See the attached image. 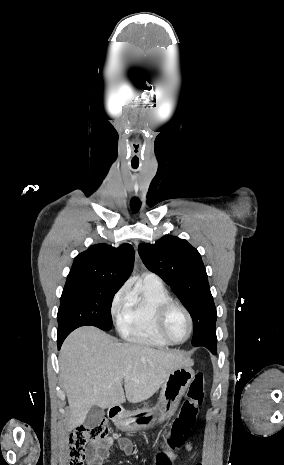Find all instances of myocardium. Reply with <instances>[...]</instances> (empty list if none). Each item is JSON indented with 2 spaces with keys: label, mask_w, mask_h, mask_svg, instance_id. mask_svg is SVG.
Instances as JSON below:
<instances>
[{
  "label": "myocardium",
  "mask_w": 284,
  "mask_h": 465,
  "mask_svg": "<svg viewBox=\"0 0 284 465\" xmlns=\"http://www.w3.org/2000/svg\"><path fill=\"white\" fill-rule=\"evenodd\" d=\"M175 308H180L186 314L187 319H188V323H189L188 334L185 337V339H183L182 341H173L172 339L169 338V336L167 335L166 330H165L166 320H167L170 312ZM156 329H157V332H158L159 336L166 343H168L170 345H182V344L186 343L193 334V330H194L193 317H192L190 311L184 305H182V304H180L178 302H175V301H170V302L165 303L160 308V310L158 312V315H157Z\"/></svg>",
  "instance_id": "1"
}]
</instances>
